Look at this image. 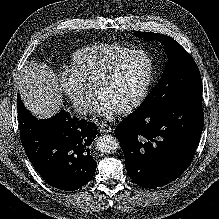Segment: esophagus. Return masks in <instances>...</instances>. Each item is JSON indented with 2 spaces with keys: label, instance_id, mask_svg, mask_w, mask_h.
I'll return each mask as SVG.
<instances>
[{
  "label": "esophagus",
  "instance_id": "34e87169",
  "mask_svg": "<svg viewBox=\"0 0 219 219\" xmlns=\"http://www.w3.org/2000/svg\"><path fill=\"white\" fill-rule=\"evenodd\" d=\"M100 132L103 134H107L110 133L113 129L112 125L110 124H106V123H102L99 126Z\"/></svg>",
  "mask_w": 219,
  "mask_h": 219
}]
</instances>
